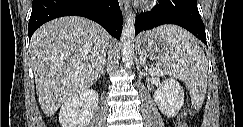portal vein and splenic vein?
I'll list each match as a JSON object with an SVG mask.
<instances>
[{"instance_id": "1", "label": "portal vein and splenic vein", "mask_w": 243, "mask_h": 127, "mask_svg": "<svg viewBox=\"0 0 243 127\" xmlns=\"http://www.w3.org/2000/svg\"><path fill=\"white\" fill-rule=\"evenodd\" d=\"M150 72H151L152 74L162 73L161 70H157V69H155V68H151V69H150Z\"/></svg>"}]
</instances>
